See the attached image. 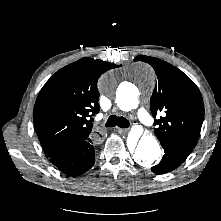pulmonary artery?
<instances>
[{
	"instance_id": "pulmonary-artery-1",
	"label": "pulmonary artery",
	"mask_w": 221,
	"mask_h": 221,
	"mask_svg": "<svg viewBox=\"0 0 221 221\" xmlns=\"http://www.w3.org/2000/svg\"><path fill=\"white\" fill-rule=\"evenodd\" d=\"M136 116L143 125L148 126V127L153 126L154 124L153 118L143 108H138L136 110Z\"/></svg>"
}]
</instances>
